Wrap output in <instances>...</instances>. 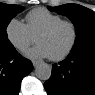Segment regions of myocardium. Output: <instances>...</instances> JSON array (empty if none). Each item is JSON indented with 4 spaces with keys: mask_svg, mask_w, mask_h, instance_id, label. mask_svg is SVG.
Segmentation results:
<instances>
[{
    "mask_svg": "<svg viewBox=\"0 0 95 95\" xmlns=\"http://www.w3.org/2000/svg\"><path fill=\"white\" fill-rule=\"evenodd\" d=\"M62 25H68L72 28L73 38H72L70 45L68 46V48L63 53L56 55V56H50V59L53 61H60V60L65 59L74 50V48L77 44V41H78V37H79L77 25L73 21H70V20H61V21H58V22L48 26L47 28L43 29L37 35V37H38L40 35L50 34Z\"/></svg>",
    "mask_w": 95,
    "mask_h": 95,
    "instance_id": "1",
    "label": "myocardium"
}]
</instances>
